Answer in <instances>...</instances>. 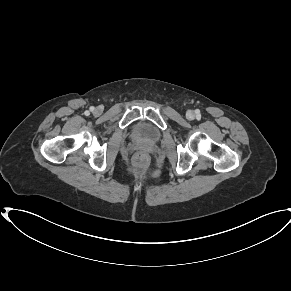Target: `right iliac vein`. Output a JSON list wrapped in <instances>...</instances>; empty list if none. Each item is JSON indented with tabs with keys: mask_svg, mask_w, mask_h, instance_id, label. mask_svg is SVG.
<instances>
[{
	"mask_svg": "<svg viewBox=\"0 0 291 291\" xmlns=\"http://www.w3.org/2000/svg\"><path fill=\"white\" fill-rule=\"evenodd\" d=\"M99 112H100L99 109H96V110H95V113H96V114H99Z\"/></svg>",
	"mask_w": 291,
	"mask_h": 291,
	"instance_id": "obj_1",
	"label": "right iliac vein"
}]
</instances>
